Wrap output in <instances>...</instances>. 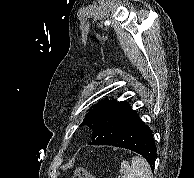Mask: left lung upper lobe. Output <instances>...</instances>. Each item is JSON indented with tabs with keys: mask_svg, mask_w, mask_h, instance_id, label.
<instances>
[{
	"mask_svg": "<svg viewBox=\"0 0 194 178\" xmlns=\"http://www.w3.org/2000/svg\"><path fill=\"white\" fill-rule=\"evenodd\" d=\"M120 102L115 100H102L96 105L92 106L89 112L86 114V117L82 125L89 126L90 129H93L99 120L114 109Z\"/></svg>",
	"mask_w": 194,
	"mask_h": 178,
	"instance_id": "obj_1",
	"label": "left lung upper lobe"
}]
</instances>
